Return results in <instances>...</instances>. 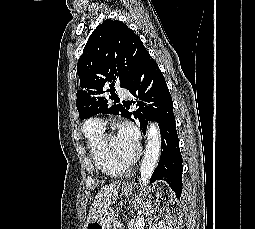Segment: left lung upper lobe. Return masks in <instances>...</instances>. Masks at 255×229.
Returning a JSON list of instances; mask_svg holds the SVG:
<instances>
[{
	"mask_svg": "<svg viewBox=\"0 0 255 229\" xmlns=\"http://www.w3.org/2000/svg\"><path fill=\"white\" fill-rule=\"evenodd\" d=\"M146 51L142 41L127 25L118 20L103 21L90 35L77 63L82 90L77 92L76 106L81 119L98 113L125 117L121 104L115 100L114 85L124 88L133 74L141 55ZM111 93L104 97L103 89ZM114 103H117L114 101Z\"/></svg>",
	"mask_w": 255,
	"mask_h": 229,
	"instance_id": "left-lung-upper-lobe-1",
	"label": "left lung upper lobe"
}]
</instances>
